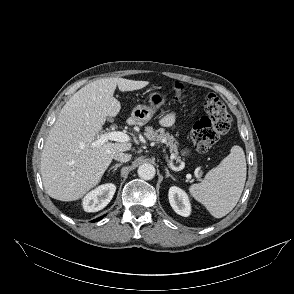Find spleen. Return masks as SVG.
<instances>
[{
  "label": "spleen",
  "mask_w": 294,
  "mask_h": 294,
  "mask_svg": "<svg viewBox=\"0 0 294 294\" xmlns=\"http://www.w3.org/2000/svg\"><path fill=\"white\" fill-rule=\"evenodd\" d=\"M246 180L243 149L233 146L230 154L211 169L201 183L190 186L191 195L216 218L227 215L236 206Z\"/></svg>",
  "instance_id": "obj_1"
}]
</instances>
